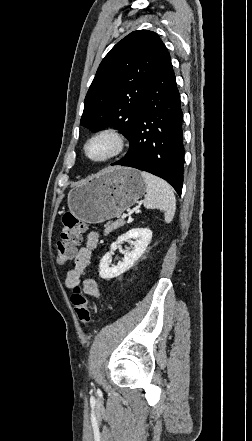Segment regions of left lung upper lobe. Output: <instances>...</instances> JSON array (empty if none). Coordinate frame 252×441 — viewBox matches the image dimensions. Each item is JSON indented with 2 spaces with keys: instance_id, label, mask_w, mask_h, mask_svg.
Instances as JSON below:
<instances>
[{
  "instance_id": "1",
  "label": "left lung upper lobe",
  "mask_w": 252,
  "mask_h": 441,
  "mask_svg": "<svg viewBox=\"0 0 252 441\" xmlns=\"http://www.w3.org/2000/svg\"><path fill=\"white\" fill-rule=\"evenodd\" d=\"M164 44L152 31L138 30L119 41L99 65L84 101L81 125L115 127L132 138Z\"/></svg>"
}]
</instances>
